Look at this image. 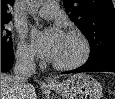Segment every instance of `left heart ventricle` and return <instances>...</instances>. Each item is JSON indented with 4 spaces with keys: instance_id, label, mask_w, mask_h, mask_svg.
<instances>
[{
    "instance_id": "1",
    "label": "left heart ventricle",
    "mask_w": 115,
    "mask_h": 99,
    "mask_svg": "<svg viewBox=\"0 0 115 99\" xmlns=\"http://www.w3.org/2000/svg\"><path fill=\"white\" fill-rule=\"evenodd\" d=\"M81 44L76 38L65 35L61 47L57 53L54 62L68 63L79 57L81 54Z\"/></svg>"
}]
</instances>
